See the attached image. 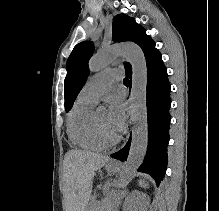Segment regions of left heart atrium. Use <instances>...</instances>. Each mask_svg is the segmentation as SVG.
Listing matches in <instances>:
<instances>
[{
  "mask_svg": "<svg viewBox=\"0 0 219 211\" xmlns=\"http://www.w3.org/2000/svg\"><path fill=\"white\" fill-rule=\"evenodd\" d=\"M107 103V118L111 128L115 132L122 131L126 123V109L124 102L118 96H111Z\"/></svg>",
  "mask_w": 219,
  "mask_h": 211,
  "instance_id": "left-heart-atrium-1",
  "label": "left heart atrium"
}]
</instances>
